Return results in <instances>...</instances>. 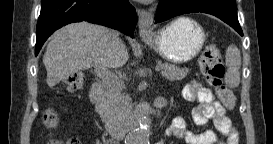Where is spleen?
<instances>
[{"label": "spleen", "instance_id": "3e777b00", "mask_svg": "<svg viewBox=\"0 0 273 144\" xmlns=\"http://www.w3.org/2000/svg\"><path fill=\"white\" fill-rule=\"evenodd\" d=\"M225 62L228 67L225 76V83L230 88H235L240 84L239 68L241 66V55L237 46L231 44L225 53Z\"/></svg>", "mask_w": 273, "mask_h": 144}]
</instances>
